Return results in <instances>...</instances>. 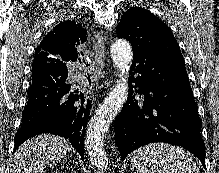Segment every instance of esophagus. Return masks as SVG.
<instances>
[{"instance_id":"obj_1","label":"esophagus","mask_w":219,"mask_h":173,"mask_svg":"<svg viewBox=\"0 0 219 173\" xmlns=\"http://www.w3.org/2000/svg\"><path fill=\"white\" fill-rule=\"evenodd\" d=\"M93 49L95 51L96 59L99 64L103 67L105 65V45L103 32H97L93 37Z\"/></svg>"}]
</instances>
